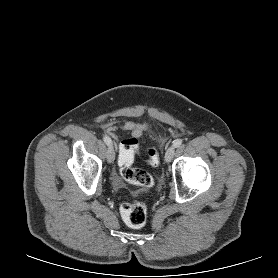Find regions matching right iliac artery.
Masks as SVG:
<instances>
[{
	"mask_svg": "<svg viewBox=\"0 0 278 278\" xmlns=\"http://www.w3.org/2000/svg\"><path fill=\"white\" fill-rule=\"evenodd\" d=\"M103 140L108 146L112 145V141L108 136H104Z\"/></svg>",
	"mask_w": 278,
	"mask_h": 278,
	"instance_id": "obj_1",
	"label": "right iliac artery"
}]
</instances>
